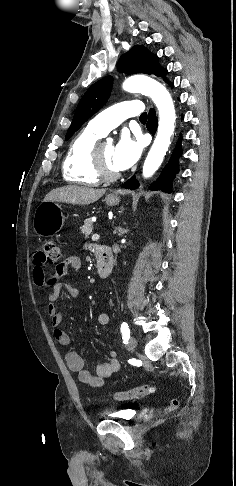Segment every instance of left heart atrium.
I'll return each instance as SVG.
<instances>
[{
    "instance_id": "obj_1",
    "label": "left heart atrium",
    "mask_w": 236,
    "mask_h": 486,
    "mask_svg": "<svg viewBox=\"0 0 236 486\" xmlns=\"http://www.w3.org/2000/svg\"><path fill=\"white\" fill-rule=\"evenodd\" d=\"M142 148L141 140L133 139L127 133L122 134L113 151V161L118 171L126 170L135 164Z\"/></svg>"
}]
</instances>
